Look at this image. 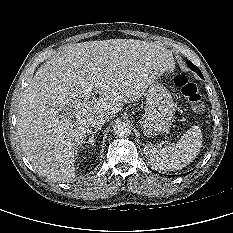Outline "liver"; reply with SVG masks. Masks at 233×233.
I'll return each mask as SVG.
<instances>
[{"instance_id":"1","label":"liver","mask_w":233,"mask_h":233,"mask_svg":"<svg viewBox=\"0 0 233 233\" xmlns=\"http://www.w3.org/2000/svg\"><path fill=\"white\" fill-rule=\"evenodd\" d=\"M170 68L169 51L141 40L65 46L41 65L19 100L17 132L25 156L41 177L71 182L75 154L92 133L89 118H113ZM81 81L93 84L99 97L85 100Z\"/></svg>"}]
</instances>
